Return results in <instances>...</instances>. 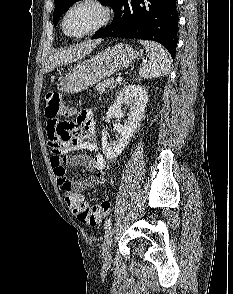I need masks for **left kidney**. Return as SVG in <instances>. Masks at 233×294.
<instances>
[{"label": "left kidney", "instance_id": "5707ae66", "mask_svg": "<svg viewBox=\"0 0 233 294\" xmlns=\"http://www.w3.org/2000/svg\"><path fill=\"white\" fill-rule=\"evenodd\" d=\"M147 101V92L140 85L129 84L119 92L114 103L109 107L106 118L109 120L113 116L118 118L123 117L124 115L121 111L123 104L130 106L131 111L127 115L128 117L124 125H114V129L120 135L116 141H109L106 128L103 129L102 151L107 159L112 160L117 158L125 149L143 117Z\"/></svg>", "mask_w": 233, "mask_h": 294}]
</instances>
